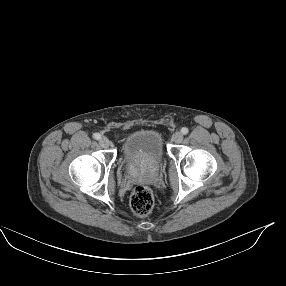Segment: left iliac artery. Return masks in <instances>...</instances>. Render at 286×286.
<instances>
[{
    "mask_svg": "<svg viewBox=\"0 0 286 286\" xmlns=\"http://www.w3.org/2000/svg\"><path fill=\"white\" fill-rule=\"evenodd\" d=\"M181 132H182L183 134H187V133L189 132V130H188L187 127H183V128L181 129Z\"/></svg>",
    "mask_w": 286,
    "mask_h": 286,
    "instance_id": "obj_1",
    "label": "left iliac artery"
}]
</instances>
